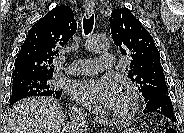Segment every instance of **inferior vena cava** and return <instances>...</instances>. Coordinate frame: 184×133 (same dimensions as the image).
I'll return each instance as SVG.
<instances>
[{
    "label": "inferior vena cava",
    "mask_w": 184,
    "mask_h": 133,
    "mask_svg": "<svg viewBox=\"0 0 184 133\" xmlns=\"http://www.w3.org/2000/svg\"><path fill=\"white\" fill-rule=\"evenodd\" d=\"M86 113L80 109L71 111V122L68 125V133H84L87 129Z\"/></svg>",
    "instance_id": "obj_1"
}]
</instances>
